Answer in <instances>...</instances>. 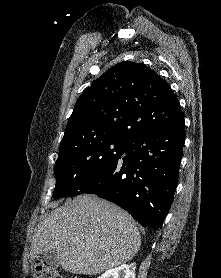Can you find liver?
<instances>
[{"mask_svg": "<svg viewBox=\"0 0 221 278\" xmlns=\"http://www.w3.org/2000/svg\"><path fill=\"white\" fill-rule=\"evenodd\" d=\"M141 246L133 218L94 195L53 210L34 230L31 256L56 251L62 268L97 275L131 260Z\"/></svg>", "mask_w": 221, "mask_h": 278, "instance_id": "obj_1", "label": "liver"}]
</instances>
